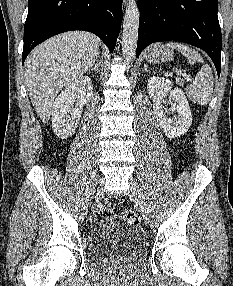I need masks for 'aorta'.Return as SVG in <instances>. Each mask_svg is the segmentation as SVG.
<instances>
[{
	"label": "aorta",
	"mask_w": 233,
	"mask_h": 286,
	"mask_svg": "<svg viewBox=\"0 0 233 286\" xmlns=\"http://www.w3.org/2000/svg\"><path fill=\"white\" fill-rule=\"evenodd\" d=\"M139 28V8L135 0H128L123 21L122 54L131 62L136 55Z\"/></svg>",
	"instance_id": "obj_1"
}]
</instances>
